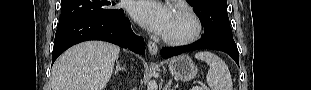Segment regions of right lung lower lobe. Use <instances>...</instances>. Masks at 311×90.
<instances>
[{"mask_svg":"<svg viewBox=\"0 0 311 90\" xmlns=\"http://www.w3.org/2000/svg\"><path fill=\"white\" fill-rule=\"evenodd\" d=\"M102 40L144 54V39L131 30L124 11L115 17L81 18L58 27L54 40L52 64L66 49L82 41Z\"/></svg>","mask_w":311,"mask_h":90,"instance_id":"obj_1","label":"right lung lower lobe"}]
</instances>
